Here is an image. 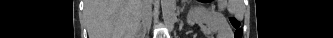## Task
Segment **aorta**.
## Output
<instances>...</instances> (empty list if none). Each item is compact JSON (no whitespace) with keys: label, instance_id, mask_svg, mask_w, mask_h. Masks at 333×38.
<instances>
[{"label":"aorta","instance_id":"aorta-1","mask_svg":"<svg viewBox=\"0 0 333 38\" xmlns=\"http://www.w3.org/2000/svg\"><path fill=\"white\" fill-rule=\"evenodd\" d=\"M162 15L166 27L172 31L177 20L175 13L176 0H161Z\"/></svg>","mask_w":333,"mask_h":38}]
</instances>
